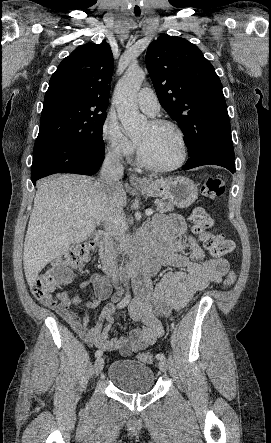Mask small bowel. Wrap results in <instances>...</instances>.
Masks as SVG:
<instances>
[{"mask_svg": "<svg viewBox=\"0 0 271 443\" xmlns=\"http://www.w3.org/2000/svg\"><path fill=\"white\" fill-rule=\"evenodd\" d=\"M158 246L153 250L147 270L133 283L135 298L128 306L130 318L137 323L129 335L110 338L111 325L116 320L115 302L122 292L114 297V302L106 305L95 325L85 312L78 316L72 306L84 311L96 308L111 293L110 280L99 274H92L80 283L85 290L93 287V295L83 301L79 295L71 296L68 291L40 299L41 303L54 311L87 344L101 351H118L129 356L152 345L164 335L162 318L180 312L193 298L211 283H218L228 271V262L220 257L207 258L198 240L188 233L185 221L179 215H171L161 225L158 233ZM161 266H171L174 271L167 272L156 283L151 277Z\"/></svg>", "mask_w": 271, "mask_h": 443, "instance_id": "obj_1", "label": "small bowel"}]
</instances>
